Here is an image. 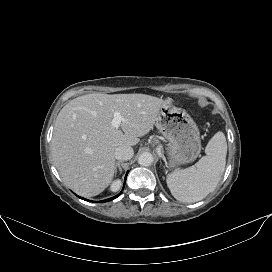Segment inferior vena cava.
Masks as SVG:
<instances>
[{"instance_id": "1", "label": "inferior vena cava", "mask_w": 272, "mask_h": 272, "mask_svg": "<svg viewBox=\"0 0 272 272\" xmlns=\"http://www.w3.org/2000/svg\"><path fill=\"white\" fill-rule=\"evenodd\" d=\"M134 155L132 147L124 145L117 147L114 152V157L117 160L127 161L130 160Z\"/></svg>"}]
</instances>
